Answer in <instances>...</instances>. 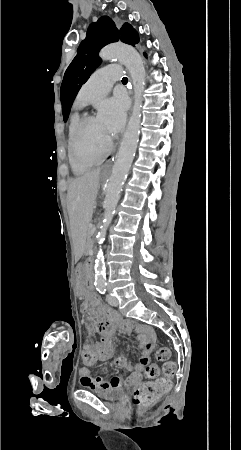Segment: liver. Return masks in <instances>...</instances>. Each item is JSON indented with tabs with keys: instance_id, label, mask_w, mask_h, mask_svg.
<instances>
[{
	"instance_id": "1",
	"label": "liver",
	"mask_w": 241,
	"mask_h": 450,
	"mask_svg": "<svg viewBox=\"0 0 241 450\" xmlns=\"http://www.w3.org/2000/svg\"><path fill=\"white\" fill-rule=\"evenodd\" d=\"M102 168L75 178L68 188L67 204L71 224H89L100 186Z\"/></svg>"
}]
</instances>
